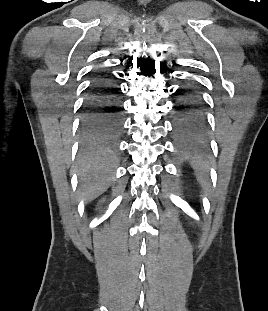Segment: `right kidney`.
I'll use <instances>...</instances> for the list:
<instances>
[{"label": "right kidney", "mask_w": 268, "mask_h": 311, "mask_svg": "<svg viewBox=\"0 0 268 311\" xmlns=\"http://www.w3.org/2000/svg\"><path fill=\"white\" fill-rule=\"evenodd\" d=\"M104 202H105V198L101 199V200L99 201V203H98L97 206L99 207V206L102 205Z\"/></svg>", "instance_id": "right-kidney-1"}]
</instances>
